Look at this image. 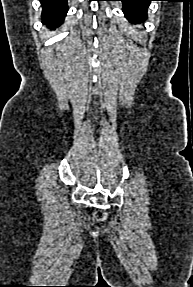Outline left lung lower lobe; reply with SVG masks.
<instances>
[{"label":"left lung lower lobe","mask_w":193,"mask_h":287,"mask_svg":"<svg viewBox=\"0 0 193 287\" xmlns=\"http://www.w3.org/2000/svg\"><path fill=\"white\" fill-rule=\"evenodd\" d=\"M123 3L125 17L132 23H140L147 19V8L156 0H118Z\"/></svg>","instance_id":"0a47b994"}]
</instances>
